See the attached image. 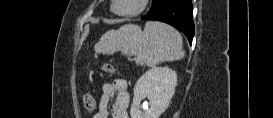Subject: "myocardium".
<instances>
[{
  "label": "myocardium",
  "instance_id": "f54148a6",
  "mask_svg": "<svg viewBox=\"0 0 273 118\" xmlns=\"http://www.w3.org/2000/svg\"><path fill=\"white\" fill-rule=\"evenodd\" d=\"M117 2H118V0L112 1V4H111L112 11L118 16L132 17V16H136L144 11V9L146 8V5L148 3V0H140V4L137 9L132 10V11H126V12H122V11L117 10V8H116Z\"/></svg>",
  "mask_w": 273,
  "mask_h": 118
}]
</instances>
